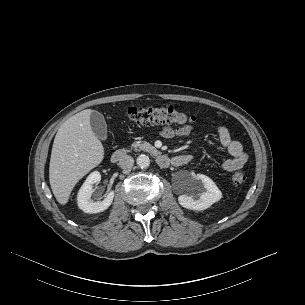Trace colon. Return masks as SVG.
Segmentation results:
<instances>
[{
	"label": "colon",
	"instance_id": "5ec220e1",
	"mask_svg": "<svg viewBox=\"0 0 305 305\" xmlns=\"http://www.w3.org/2000/svg\"><path fill=\"white\" fill-rule=\"evenodd\" d=\"M128 117L138 126L156 124L188 125L196 123L198 120L196 116L186 114L171 104L133 106L128 110ZM245 179V174L241 172L233 176V182L235 184H241Z\"/></svg>",
	"mask_w": 305,
	"mask_h": 305
}]
</instances>
